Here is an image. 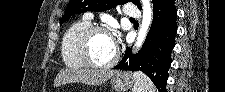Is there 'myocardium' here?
I'll return each mask as SVG.
<instances>
[{
    "mask_svg": "<svg viewBox=\"0 0 225 92\" xmlns=\"http://www.w3.org/2000/svg\"><path fill=\"white\" fill-rule=\"evenodd\" d=\"M98 32H106L110 33L109 29L103 25H90L88 26L85 30H83L80 35L78 36L76 43H75V48L78 56L80 57L82 63L89 68L92 69H108L113 67L119 60V50L116 48V52L114 57L107 63L104 64H98L96 63L90 56L89 53V44L91 41V38L93 37L94 34Z\"/></svg>",
    "mask_w": 225,
    "mask_h": 92,
    "instance_id": "obj_1",
    "label": "myocardium"
}]
</instances>
